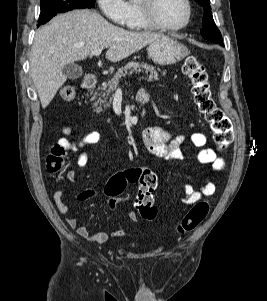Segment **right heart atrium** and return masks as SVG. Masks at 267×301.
I'll use <instances>...</instances> for the list:
<instances>
[{"instance_id": "right-heart-atrium-1", "label": "right heart atrium", "mask_w": 267, "mask_h": 301, "mask_svg": "<svg viewBox=\"0 0 267 301\" xmlns=\"http://www.w3.org/2000/svg\"><path fill=\"white\" fill-rule=\"evenodd\" d=\"M102 13L117 25H127L130 4L127 0H97Z\"/></svg>"}]
</instances>
